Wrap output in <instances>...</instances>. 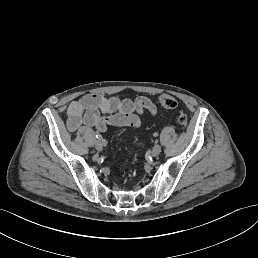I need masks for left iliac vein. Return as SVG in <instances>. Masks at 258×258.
<instances>
[{"mask_svg":"<svg viewBox=\"0 0 258 258\" xmlns=\"http://www.w3.org/2000/svg\"><path fill=\"white\" fill-rule=\"evenodd\" d=\"M161 146H160V144H155V146H154V148L152 149V154L153 155H158L159 153H160V151H161Z\"/></svg>","mask_w":258,"mask_h":258,"instance_id":"1","label":"left iliac vein"}]
</instances>
